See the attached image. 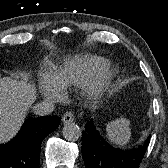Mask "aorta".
Segmentation results:
<instances>
[{
	"label": "aorta",
	"instance_id": "1",
	"mask_svg": "<svg viewBox=\"0 0 168 168\" xmlns=\"http://www.w3.org/2000/svg\"><path fill=\"white\" fill-rule=\"evenodd\" d=\"M62 133L66 140L76 141L81 136V129L75 123H68L64 125Z\"/></svg>",
	"mask_w": 168,
	"mask_h": 168
}]
</instances>
